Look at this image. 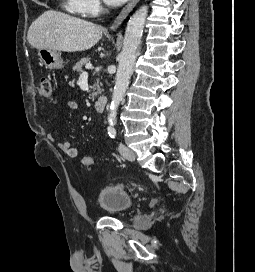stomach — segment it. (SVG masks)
Returning <instances> with one entry per match:
<instances>
[{
    "label": "stomach",
    "instance_id": "1",
    "mask_svg": "<svg viewBox=\"0 0 255 272\" xmlns=\"http://www.w3.org/2000/svg\"><path fill=\"white\" fill-rule=\"evenodd\" d=\"M38 56L47 69H61L63 67L61 54L56 50L40 48L38 49Z\"/></svg>",
    "mask_w": 255,
    "mask_h": 272
}]
</instances>
